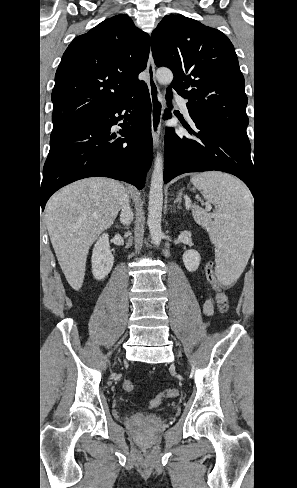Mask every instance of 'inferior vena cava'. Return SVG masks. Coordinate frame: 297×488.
Returning <instances> with one entry per match:
<instances>
[{
	"mask_svg": "<svg viewBox=\"0 0 297 488\" xmlns=\"http://www.w3.org/2000/svg\"><path fill=\"white\" fill-rule=\"evenodd\" d=\"M133 220V212L129 206V200L127 195L124 197L123 204H122V211L120 214V221L123 224H130Z\"/></svg>",
	"mask_w": 297,
	"mask_h": 488,
	"instance_id": "inferior-vena-cava-1",
	"label": "inferior vena cava"
}]
</instances>
